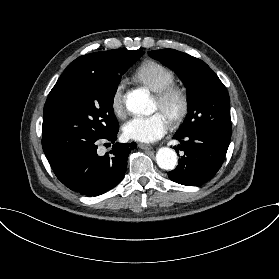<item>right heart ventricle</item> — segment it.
Masks as SVG:
<instances>
[{
	"instance_id": "obj_1",
	"label": "right heart ventricle",
	"mask_w": 279,
	"mask_h": 279,
	"mask_svg": "<svg viewBox=\"0 0 279 279\" xmlns=\"http://www.w3.org/2000/svg\"><path fill=\"white\" fill-rule=\"evenodd\" d=\"M135 77L154 92L174 84L176 80L172 69L155 60H147L139 65Z\"/></svg>"
}]
</instances>
